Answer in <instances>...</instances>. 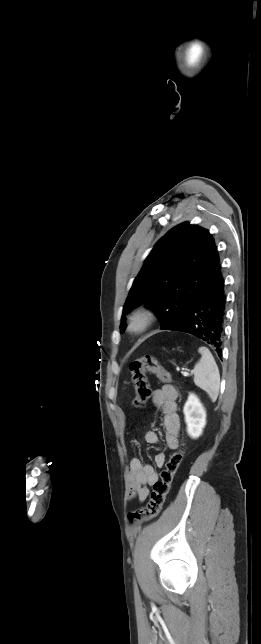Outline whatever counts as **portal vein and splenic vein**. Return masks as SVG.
Listing matches in <instances>:
<instances>
[{"label":"portal vein and splenic vein","instance_id":"18ae733b","mask_svg":"<svg viewBox=\"0 0 261 644\" xmlns=\"http://www.w3.org/2000/svg\"><path fill=\"white\" fill-rule=\"evenodd\" d=\"M182 375H183L184 377H187V376H189V373L184 371V372H182Z\"/></svg>","mask_w":261,"mask_h":644}]
</instances>
